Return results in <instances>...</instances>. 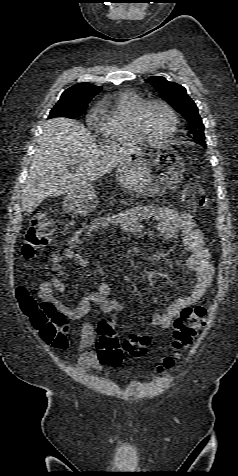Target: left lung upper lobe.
Wrapping results in <instances>:
<instances>
[{"instance_id": "5c2ea615", "label": "left lung upper lobe", "mask_w": 238, "mask_h": 476, "mask_svg": "<svg viewBox=\"0 0 238 476\" xmlns=\"http://www.w3.org/2000/svg\"><path fill=\"white\" fill-rule=\"evenodd\" d=\"M149 80L160 96L189 122L191 125L189 133L193 139L206 147L202 119L198 114L196 104L189 97L186 89L175 82L167 81L166 78L161 76H153Z\"/></svg>"}]
</instances>
